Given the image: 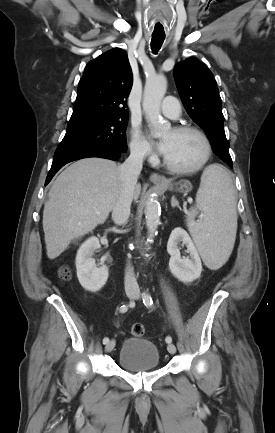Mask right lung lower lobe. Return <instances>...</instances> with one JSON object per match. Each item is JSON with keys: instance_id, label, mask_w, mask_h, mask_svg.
Listing matches in <instances>:
<instances>
[{"instance_id": "1", "label": "right lung lower lobe", "mask_w": 275, "mask_h": 433, "mask_svg": "<svg viewBox=\"0 0 275 433\" xmlns=\"http://www.w3.org/2000/svg\"><path fill=\"white\" fill-rule=\"evenodd\" d=\"M122 152L123 151L112 147H101V148H93L87 150L66 151V152L55 153L52 166L48 173L45 185H47L51 181L52 177L60 170V168H62L65 164L71 161H75L87 157H101V158H107L111 160H118L121 157Z\"/></svg>"}]
</instances>
